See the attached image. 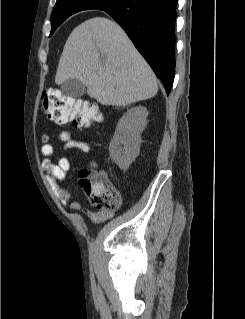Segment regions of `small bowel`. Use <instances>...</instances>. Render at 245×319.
<instances>
[{
    "instance_id": "obj_1",
    "label": "small bowel",
    "mask_w": 245,
    "mask_h": 319,
    "mask_svg": "<svg viewBox=\"0 0 245 319\" xmlns=\"http://www.w3.org/2000/svg\"><path fill=\"white\" fill-rule=\"evenodd\" d=\"M57 139L63 144V149L78 150L86 153L90 150V144L85 141L74 139L72 134L67 130L57 133ZM41 152L44 157L42 167L46 172L47 181L54 194L61 200L64 205L70 204V208L74 211H82V213L92 222L100 223L110 219L113 216L111 211H91L82 209L80 201H72L73 193L69 188L62 186L67 181L68 172L71 169V162L67 157H58L54 161V148L51 143V136L44 134L42 136Z\"/></svg>"
}]
</instances>
